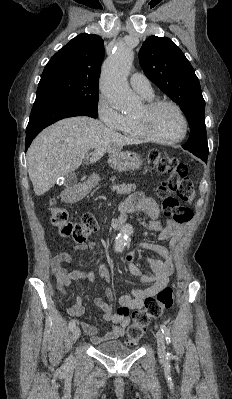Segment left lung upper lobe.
<instances>
[{"instance_id":"left-lung-upper-lobe-1","label":"left lung upper lobe","mask_w":232,"mask_h":399,"mask_svg":"<svg viewBox=\"0 0 232 399\" xmlns=\"http://www.w3.org/2000/svg\"><path fill=\"white\" fill-rule=\"evenodd\" d=\"M145 75L184 112L190 126L182 146L197 157H208L205 127V100L199 80L183 52L167 37L150 36L139 52Z\"/></svg>"}]
</instances>
